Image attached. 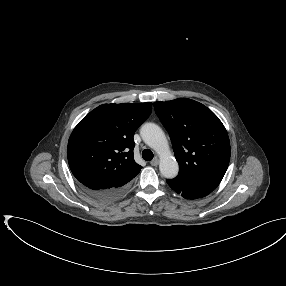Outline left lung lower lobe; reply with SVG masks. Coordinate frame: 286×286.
Returning a JSON list of instances; mask_svg holds the SVG:
<instances>
[{"label": "left lung lower lobe", "mask_w": 286, "mask_h": 286, "mask_svg": "<svg viewBox=\"0 0 286 286\" xmlns=\"http://www.w3.org/2000/svg\"><path fill=\"white\" fill-rule=\"evenodd\" d=\"M168 185L186 199H197L204 197L213 191L207 186L186 182L179 178L167 179Z\"/></svg>", "instance_id": "left-lung-lower-lobe-1"}]
</instances>
